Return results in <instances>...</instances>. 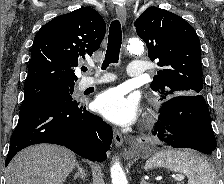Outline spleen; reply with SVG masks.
<instances>
[{
  "instance_id": "spleen-1",
  "label": "spleen",
  "mask_w": 224,
  "mask_h": 184,
  "mask_svg": "<svg viewBox=\"0 0 224 184\" xmlns=\"http://www.w3.org/2000/svg\"><path fill=\"white\" fill-rule=\"evenodd\" d=\"M164 167L188 177V184H215L211 166L206 159L190 150H166L146 161L145 169Z\"/></svg>"
}]
</instances>
